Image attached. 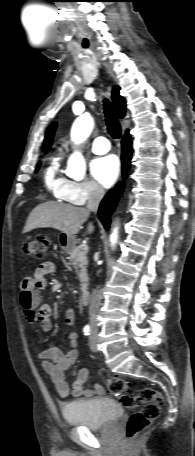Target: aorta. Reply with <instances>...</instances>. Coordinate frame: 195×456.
Wrapping results in <instances>:
<instances>
[{
    "mask_svg": "<svg viewBox=\"0 0 195 456\" xmlns=\"http://www.w3.org/2000/svg\"><path fill=\"white\" fill-rule=\"evenodd\" d=\"M94 120L89 115L78 117L72 125L71 139L75 144L83 143L91 134ZM86 173V162L82 154L75 151L68 159L67 174L72 178L80 179ZM118 227H115L110 235V245L114 247L118 241Z\"/></svg>",
    "mask_w": 195,
    "mask_h": 456,
    "instance_id": "762f6f07",
    "label": "aorta"
}]
</instances>
